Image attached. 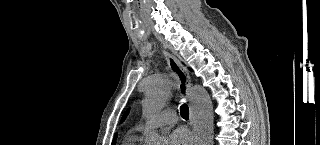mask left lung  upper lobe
<instances>
[{"mask_svg": "<svg viewBox=\"0 0 320 145\" xmlns=\"http://www.w3.org/2000/svg\"><path fill=\"white\" fill-rule=\"evenodd\" d=\"M128 115V111L124 114L122 121L125 119V117Z\"/></svg>", "mask_w": 320, "mask_h": 145, "instance_id": "left-lung-upper-lobe-1", "label": "left lung upper lobe"}]
</instances>
